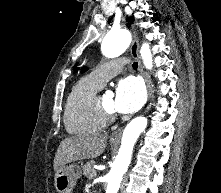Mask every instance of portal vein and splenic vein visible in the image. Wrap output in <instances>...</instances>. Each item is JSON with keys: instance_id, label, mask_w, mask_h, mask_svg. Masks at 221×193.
<instances>
[{"instance_id": "18ae733b", "label": "portal vein and splenic vein", "mask_w": 221, "mask_h": 193, "mask_svg": "<svg viewBox=\"0 0 221 193\" xmlns=\"http://www.w3.org/2000/svg\"><path fill=\"white\" fill-rule=\"evenodd\" d=\"M97 175V172L94 170L93 171V176H96Z\"/></svg>"}]
</instances>
